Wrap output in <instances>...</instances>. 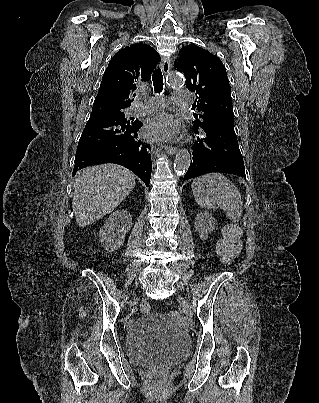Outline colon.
Masks as SVG:
<instances>
[{
	"label": "colon",
	"instance_id": "colon-1",
	"mask_svg": "<svg viewBox=\"0 0 319 403\" xmlns=\"http://www.w3.org/2000/svg\"><path fill=\"white\" fill-rule=\"evenodd\" d=\"M240 230L234 226H228L225 231V236L219 241L217 245V252L224 262H230L240 252ZM140 311L143 314L151 312V306L148 302L142 301L140 303Z\"/></svg>",
	"mask_w": 319,
	"mask_h": 403
}]
</instances>
